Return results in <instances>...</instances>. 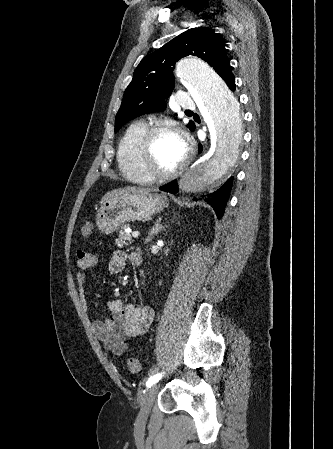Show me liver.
Listing matches in <instances>:
<instances>
[{"label":"liver","mask_w":333,"mask_h":449,"mask_svg":"<svg viewBox=\"0 0 333 449\" xmlns=\"http://www.w3.org/2000/svg\"><path fill=\"white\" fill-rule=\"evenodd\" d=\"M149 190L146 189H139V188H135V187H124V188H118V189H114L111 190L109 192H107L101 200V204H103L106 200H110L113 198H117L120 197L122 195H127L130 193H148Z\"/></svg>","instance_id":"6515ba94"}]
</instances>
